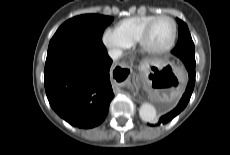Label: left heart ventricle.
Masks as SVG:
<instances>
[{
	"label": "left heart ventricle",
	"mask_w": 230,
	"mask_h": 155,
	"mask_svg": "<svg viewBox=\"0 0 230 155\" xmlns=\"http://www.w3.org/2000/svg\"><path fill=\"white\" fill-rule=\"evenodd\" d=\"M173 34V24L168 19L157 20L149 32L147 46L152 49L165 47L171 40Z\"/></svg>",
	"instance_id": "1"
}]
</instances>
